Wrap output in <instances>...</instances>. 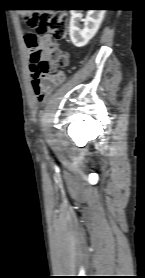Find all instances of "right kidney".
<instances>
[{
  "mask_svg": "<svg viewBox=\"0 0 145 278\" xmlns=\"http://www.w3.org/2000/svg\"><path fill=\"white\" fill-rule=\"evenodd\" d=\"M70 13V39L76 47H83L99 29L105 10H88L85 19H82V10H71ZM80 22H84L83 26Z\"/></svg>",
  "mask_w": 145,
  "mask_h": 278,
  "instance_id": "obj_1",
  "label": "right kidney"
}]
</instances>
